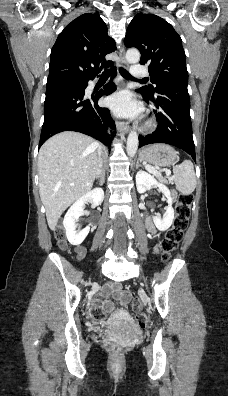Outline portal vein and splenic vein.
Segmentation results:
<instances>
[{
    "mask_svg": "<svg viewBox=\"0 0 228 396\" xmlns=\"http://www.w3.org/2000/svg\"><path fill=\"white\" fill-rule=\"evenodd\" d=\"M146 169H147L148 171L153 172L154 174H160V172H158L157 170H155V169H154L153 167H151V166H147ZM166 174H167V175H170L171 172H170L169 170H167Z\"/></svg>",
    "mask_w": 228,
    "mask_h": 396,
    "instance_id": "portal-vein-and-splenic-vein-1",
    "label": "portal vein and splenic vein"
}]
</instances>
